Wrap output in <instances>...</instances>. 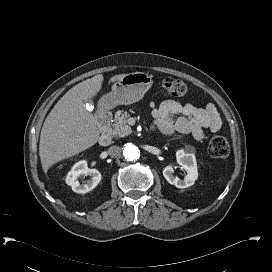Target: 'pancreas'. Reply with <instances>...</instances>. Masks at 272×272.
Returning <instances> with one entry per match:
<instances>
[{
    "instance_id": "obj_1",
    "label": "pancreas",
    "mask_w": 272,
    "mask_h": 272,
    "mask_svg": "<svg viewBox=\"0 0 272 272\" xmlns=\"http://www.w3.org/2000/svg\"><path fill=\"white\" fill-rule=\"evenodd\" d=\"M130 115L123 110H118L115 113V123L113 124V137H124L131 134V127L128 125Z\"/></svg>"
}]
</instances>
